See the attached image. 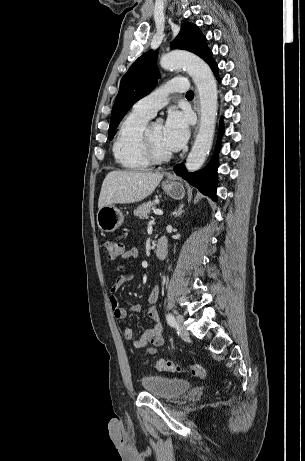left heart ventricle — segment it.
<instances>
[{
	"mask_svg": "<svg viewBox=\"0 0 305 461\" xmlns=\"http://www.w3.org/2000/svg\"><path fill=\"white\" fill-rule=\"evenodd\" d=\"M150 135L155 149L159 153H169L163 142V127L160 124H153L150 127Z\"/></svg>",
	"mask_w": 305,
	"mask_h": 461,
	"instance_id": "b2bd125f",
	"label": "left heart ventricle"
}]
</instances>
